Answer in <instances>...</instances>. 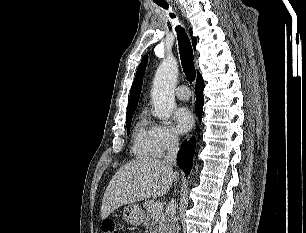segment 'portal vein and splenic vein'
I'll list each match as a JSON object with an SVG mask.
<instances>
[{
	"label": "portal vein and splenic vein",
	"mask_w": 306,
	"mask_h": 233,
	"mask_svg": "<svg viewBox=\"0 0 306 233\" xmlns=\"http://www.w3.org/2000/svg\"><path fill=\"white\" fill-rule=\"evenodd\" d=\"M162 208H163V206H162L161 202H155L152 205V212H154V213L159 212L160 210H162Z\"/></svg>",
	"instance_id": "obj_1"
}]
</instances>
